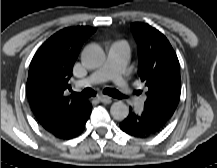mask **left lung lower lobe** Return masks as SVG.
I'll return each instance as SVG.
<instances>
[{
  "mask_svg": "<svg viewBox=\"0 0 217 168\" xmlns=\"http://www.w3.org/2000/svg\"><path fill=\"white\" fill-rule=\"evenodd\" d=\"M170 118L151 109L135 113L129 111V115L120 123V129L125 133L145 138L157 134L169 123Z\"/></svg>",
  "mask_w": 217,
  "mask_h": 168,
  "instance_id": "left-lung-lower-lobe-1",
  "label": "left lung lower lobe"
}]
</instances>
